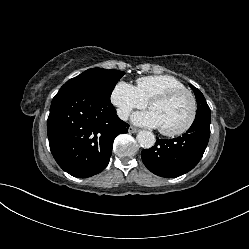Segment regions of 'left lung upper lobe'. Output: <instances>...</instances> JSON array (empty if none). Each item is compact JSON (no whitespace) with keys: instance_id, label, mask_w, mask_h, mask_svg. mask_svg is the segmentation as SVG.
Wrapping results in <instances>:
<instances>
[{"instance_id":"5c2ea615","label":"left lung upper lobe","mask_w":249,"mask_h":249,"mask_svg":"<svg viewBox=\"0 0 249 249\" xmlns=\"http://www.w3.org/2000/svg\"><path fill=\"white\" fill-rule=\"evenodd\" d=\"M191 89L194 91L197 100L196 117H210L211 111L203 94L193 86H191Z\"/></svg>"}]
</instances>
